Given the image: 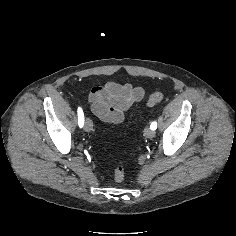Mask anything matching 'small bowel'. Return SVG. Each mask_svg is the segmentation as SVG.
<instances>
[{
	"instance_id": "small-bowel-1",
	"label": "small bowel",
	"mask_w": 236,
	"mask_h": 236,
	"mask_svg": "<svg viewBox=\"0 0 236 236\" xmlns=\"http://www.w3.org/2000/svg\"><path fill=\"white\" fill-rule=\"evenodd\" d=\"M144 96V90L135 84L107 82L94 87L89 94L93 113L101 120L118 124L124 119L125 111Z\"/></svg>"
}]
</instances>
